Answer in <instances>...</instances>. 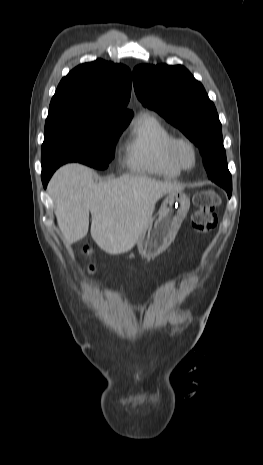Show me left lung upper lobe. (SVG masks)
Wrapping results in <instances>:
<instances>
[{
    "label": "left lung upper lobe",
    "mask_w": 263,
    "mask_h": 465,
    "mask_svg": "<svg viewBox=\"0 0 263 465\" xmlns=\"http://www.w3.org/2000/svg\"><path fill=\"white\" fill-rule=\"evenodd\" d=\"M137 98L179 128L200 149L218 161L215 183L231 196L232 180L223 146L222 127L202 84L183 66L139 65L133 70ZM209 177V176H208ZM213 181V180H212Z\"/></svg>",
    "instance_id": "left-lung-upper-lobe-1"
}]
</instances>
